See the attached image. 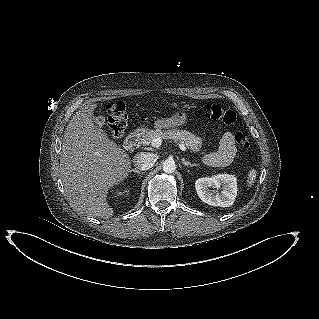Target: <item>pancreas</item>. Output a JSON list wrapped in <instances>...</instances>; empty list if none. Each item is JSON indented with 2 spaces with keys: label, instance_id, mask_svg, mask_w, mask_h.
Instances as JSON below:
<instances>
[{
  "label": "pancreas",
  "instance_id": "1",
  "mask_svg": "<svg viewBox=\"0 0 319 319\" xmlns=\"http://www.w3.org/2000/svg\"><path fill=\"white\" fill-rule=\"evenodd\" d=\"M157 137L162 140H171L175 143H181L194 153L199 152L203 145L200 137L195 136L186 130L179 131L178 129H152L142 136L139 143L142 145H149L152 143V140Z\"/></svg>",
  "mask_w": 319,
  "mask_h": 319
}]
</instances>
